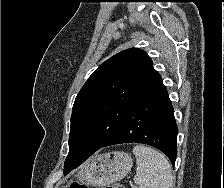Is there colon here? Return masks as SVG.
Segmentation results:
<instances>
[{
	"instance_id": "5ec220e1",
	"label": "colon",
	"mask_w": 224,
	"mask_h": 188,
	"mask_svg": "<svg viewBox=\"0 0 224 188\" xmlns=\"http://www.w3.org/2000/svg\"><path fill=\"white\" fill-rule=\"evenodd\" d=\"M70 188H88V187L79 183V182H73L71 184ZM104 188H125V187L120 185V184H111V185H108Z\"/></svg>"
}]
</instances>
